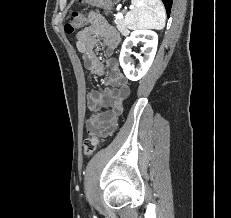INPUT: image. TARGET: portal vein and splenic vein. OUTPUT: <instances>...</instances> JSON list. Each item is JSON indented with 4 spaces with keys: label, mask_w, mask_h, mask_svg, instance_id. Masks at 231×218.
<instances>
[{
    "label": "portal vein and splenic vein",
    "mask_w": 231,
    "mask_h": 218,
    "mask_svg": "<svg viewBox=\"0 0 231 218\" xmlns=\"http://www.w3.org/2000/svg\"><path fill=\"white\" fill-rule=\"evenodd\" d=\"M123 17V14L121 12L117 13L116 19H121Z\"/></svg>",
    "instance_id": "obj_1"
}]
</instances>
